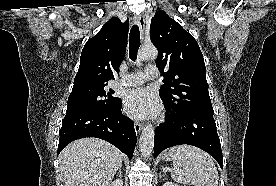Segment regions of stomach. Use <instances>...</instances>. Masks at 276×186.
<instances>
[{
	"instance_id": "obj_1",
	"label": "stomach",
	"mask_w": 276,
	"mask_h": 186,
	"mask_svg": "<svg viewBox=\"0 0 276 186\" xmlns=\"http://www.w3.org/2000/svg\"><path fill=\"white\" fill-rule=\"evenodd\" d=\"M167 158L170 159V156H168V153H164L163 154V159L166 160Z\"/></svg>"
}]
</instances>
